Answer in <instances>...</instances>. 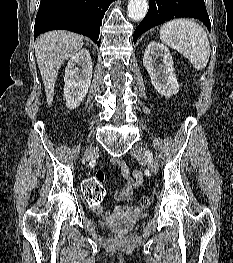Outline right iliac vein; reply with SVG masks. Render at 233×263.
<instances>
[{
    "label": "right iliac vein",
    "mask_w": 233,
    "mask_h": 263,
    "mask_svg": "<svg viewBox=\"0 0 233 263\" xmlns=\"http://www.w3.org/2000/svg\"><path fill=\"white\" fill-rule=\"evenodd\" d=\"M99 151L98 147H94V148H91V149H88L83 158H82V161L85 162L87 161L90 157L94 156L97 152Z\"/></svg>",
    "instance_id": "1"
}]
</instances>
